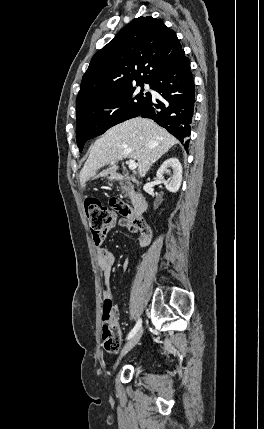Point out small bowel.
Instances as JSON below:
<instances>
[{"label": "small bowel", "instance_id": "c3829d8e", "mask_svg": "<svg viewBox=\"0 0 264 429\" xmlns=\"http://www.w3.org/2000/svg\"><path fill=\"white\" fill-rule=\"evenodd\" d=\"M117 224H120L121 226H126L132 232L137 233L138 241L142 246L147 245L151 239V230L145 222H143L142 220L140 221H135V220L127 221L126 219L118 220L116 214L114 213L112 214V217L106 227L104 235L99 239L93 238L94 244L96 246V251H97L98 265L104 279V290H103L104 301L107 299H110L111 297L110 281H111L112 267L115 263V256L110 250H108L103 246V240L107 232L113 227H115ZM123 268L128 269L129 264L124 263Z\"/></svg>", "mask_w": 264, "mask_h": 429}]
</instances>
